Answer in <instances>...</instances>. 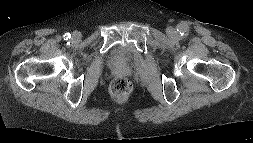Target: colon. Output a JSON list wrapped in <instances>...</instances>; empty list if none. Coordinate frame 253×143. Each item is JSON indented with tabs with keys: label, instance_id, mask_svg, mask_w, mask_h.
<instances>
[{
	"label": "colon",
	"instance_id": "1",
	"mask_svg": "<svg viewBox=\"0 0 253 143\" xmlns=\"http://www.w3.org/2000/svg\"><path fill=\"white\" fill-rule=\"evenodd\" d=\"M109 90L114 97H123L129 94L131 83L126 77H116L110 83Z\"/></svg>",
	"mask_w": 253,
	"mask_h": 143
}]
</instances>
